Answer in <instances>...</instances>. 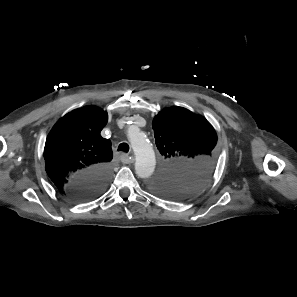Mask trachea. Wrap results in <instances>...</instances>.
Returning a JSON list of instances; mask_svg holds the SVG:
<instances>
[{"instance_id": "3493384b", "label": "trachea", "mask_w": 297, "mask_h": 297, "mask_svg": "<svg viewBox=\"0 0 297 297\" xmlns=\"http://www.w3.org/2000/svg\"><path fill=\"white\" fill-rule=\"evenodd\" d=\"M118 151L128 152L129 151V145L127 143H121L118 146Z\"/></svg>"}]
</instances>
